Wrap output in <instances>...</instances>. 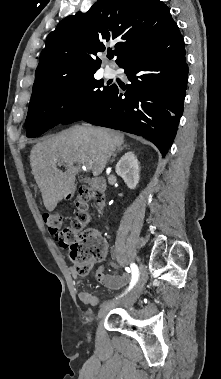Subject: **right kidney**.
Returning a JSON list of instances; mask_svg holds the SVG:
<instances>
[{"instance_id":"1","label":"right kidney","mask_w":221,"mask_h":379,"mask_svg":"<svg viewBox=\"0 0 221 379\" xmlns=\"http://www.w3.org/2000/svg\"><path fill=\"white\" fill-rule=\"evenodd\" d=\"M116 173L130 189H135L140 179L139 162L134 152L125 153L116 165Z\"/></svg>"}]
</instances>
